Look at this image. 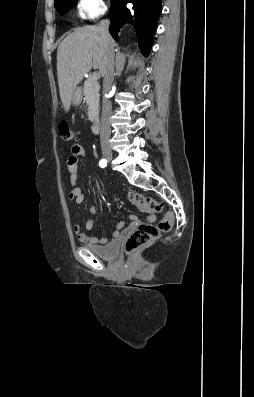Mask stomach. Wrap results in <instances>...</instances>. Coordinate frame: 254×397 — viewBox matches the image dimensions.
<instances>
[{
    "label": "stomach",
    "instance_id": "0dacf381",
    "mask_svg": "<svg viewBox=\"0 0 254 397\" xmlns=\"http://www.w3.org/2000/svg\"><path fill=\"white\" fill-rule=\"evenodd\" d=\"M82 101V89L80 87H76L72 94V102L74 105H79Z\"/></svg>",
    "mask_w": 254,
    "mask_h": 397
}]
</instances>
